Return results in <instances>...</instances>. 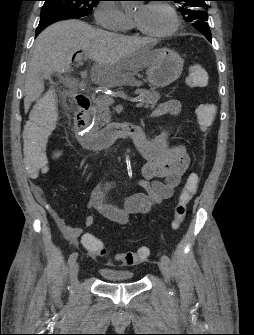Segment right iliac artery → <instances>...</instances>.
<instances>
[{"instance_id":"obj_1","label":"right iliac artery","mask_w":254,"mask_h":335,"mask_svg":"<svg viewBox=\"0 0 254 335\" xmlns=\"http://www.w3.org/2000/svg\"><path fill=\"white\" fill-rule=\"evenodd\" d=\"M77 257H78V253H77V252H73V253L69 256L68 264H69L70 266H72V265L75 263Z\"/></svg>"}]
</instances>
